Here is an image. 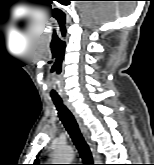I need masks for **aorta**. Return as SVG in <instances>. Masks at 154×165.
Instances as JSON below:
<instances>
[{
	"mask_svg": "<svg viewBox=\"0 0 154 165\" xmlns=\"http://www.w3.org/2000/svg\"><path fill=\"white\" fill-rule=\"evenodd\" d=\"M74 159V150L70 146L59 147L55 150L52 164H71Z\"/></svg>",
	"mask_w": 154,
	"mask_h": 165,
	"instance_id": "obj_1",
	"label": "aorta"
}]
</instances>
